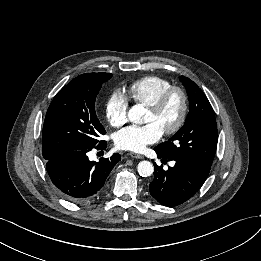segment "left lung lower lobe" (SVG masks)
<instances>
[{
	"label": "left lung lower lobe",
	"mask_w": 261,
	"mask_h": 261,
	"mask_svg": "<svg viewBox=\"0 0 261 261\" xmlns=\"http://www.w3.org/2000/svg\"><path fill=\"white\" fill-rule=\"evenodd\" d=\"M156 153L158 158L168 159ZM168 160L175 161V165L168 167L166 171L163 166L155 164L154 179L149 184V190L151 196L160 204L172 207L190 199L203 185L208 173L179 159Z\"/></svg>",
	"instance_id": "obj_1"
}]
</instances>
